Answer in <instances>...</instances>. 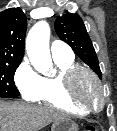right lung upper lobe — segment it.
I'll use <instances>...</instances> for the list:
<instances>
[{
  "label": "right lung upper lobe",
  "mask_w": 117,
  "mask_h": 131,
  "mask_svg": "<svg viewBox=\"0 0 117 131\" xmlns=\"http://www.w3.org/2000/svg\"><path fill=\"white\" fill-rule=\"evenodd\" d=\"M26 28V16L20 8L0 13V62H21Z\"/></svg>",
  "instance_id": "obj_1"
}]
</instances>
